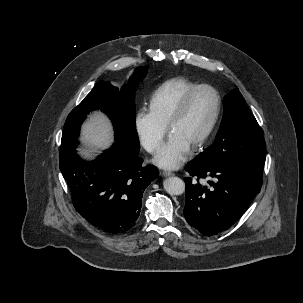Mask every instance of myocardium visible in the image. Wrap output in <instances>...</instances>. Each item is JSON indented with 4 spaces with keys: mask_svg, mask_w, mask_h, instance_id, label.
<instances>
[{
    "mask_svg": "<svg viewBox=\"0 0 303 303\" xmlns=\"http://www.w3.org/2000/svg\"><path fill=\"white\" fill-rule=\"evenodd\" d=\"M203 89H207V90H210L211 92H213V94L215 95V98H216V106H215L214 114L212 116V119H211L207 129L205 130V132L201 135V137L192 146L193 149H195V150L203 147V145L210 138L211 134L213 133V131H214V129H215L217 123H218V120H219V117H220V114H221V110H222V98H221V95H220V93L218 92V90L216 88H214L213 86H211L209 84H199V85L195 86L194 88H192L182 98L181 102L177 106L176 110L172 114V116H171V118H170V120L167 124L168 130L171 131L172 127L186 113L194 95L197 92H199L200 90H203Z\"/></svg>",
    "mask_w": 303,
    "mask_h": 303,
    "instance_id": "myocardium-1",
    "label": "myocardium"
}]
</instances>
